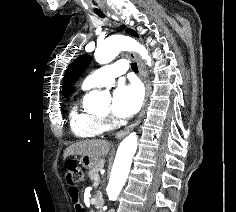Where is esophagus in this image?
<instances>
[{"instance_id": "1", "label": "esophagus", "mask_w": 236, "mask_h": 212, "mask_svg": "<svg viewBox=\"0 0 236 212\" xmlns=\"http://www.w3.org/2000/svg\"><path fill=\"white\" fill-rule=\"evenodd\" d=\"M129 57L131 59L135 60L137 62V64H138L140 77H141L142 81L144 82L145 90H146L145 100H144L143 107H142V109H141L137 119L132 124H130L129 126L124 128L123 130L117 132L116 135H115L116 139L123 138L128 133H130L135 127H137L139 125V123L141 122V119L143 118V116L145 114L146 107H147V101H148L149 85H148V80H147V76H146V72H145L143 63L141 62L139 57L135 53H133V52L129 53Z\"/></svg>"}]
</instances>
